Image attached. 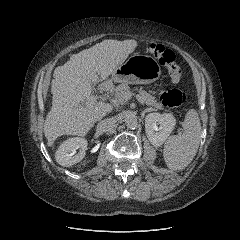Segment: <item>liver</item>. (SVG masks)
Masks as SVG:
<instances>
[{
  "label": "liver",
  "instance_id": "obj_1",
  "mask_svg": "<svg viewBox=\"0 0 240 240\" xmlns=\"http://www.w3.org/2000/svg\"><path fill=\"white\" fill-rule=\"evenodd\" d=\"M137 47L135 40H104L70 57L54 71L52 107L44 123L48 146L63 135H86L113 106L103 101L79 105L92 96V87L105 80Z\"/></svg>",
  "mask_w": 240,
  "mask_h": 240
}]
</instances>
